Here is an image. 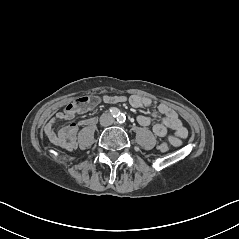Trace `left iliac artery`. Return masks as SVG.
Listing matches in <instances>:
<instances>
[{
    "label": "left iliac artery",
    "instance_id": "left-iliac-artery-1",
    "mask_svg": "<svg viewBox=\"0 0 239 239\" xmlns=\"http://www.w3.org/2000/svg\"><path fill=\"white\" fill-rule=\"evenodd\" d=\"M125 119H126V117H125V115L124 114H121L119 117H118V121H119V123H123L124 121H125Z\"/></svg>",
    "mask_w": 239,
    "mask_h": 239
}]
</instances>
